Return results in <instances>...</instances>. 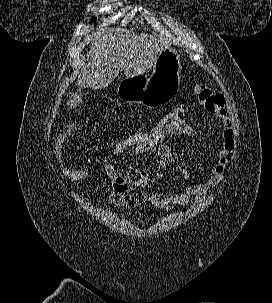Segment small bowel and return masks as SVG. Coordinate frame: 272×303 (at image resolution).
I'll list each match as a JSON object with an SVG mask.
<instances>
[{"label":"small bowel","instance_id":"1","mask_svg":"<svg viewBox=\"0 0 272 303\" xmlns=\"http://www.w3.org/2000/svg\"><path fill=\"white\" fill-rule=\"evenodd\" d=\"M195 93L204 110L221 123L219 130L220 148L217 153V160L205 180L196 185H188L183 193H176L170 189H165V187H160L147 196V201L160 209L168 210L173 204L184 205L192 199H194L195 203L201 202L209 190L223 180L224 170L233 155V129L225 97L201 84L195 87ZM195 133V129L190 125L184 131L179 132L178 135L191 137ZM134 153L137 156L152 155L156 159V164L159 168L175 166L186 179L189 177L187 170L178 165L170 148L165 144L153 148L137 149ZM105 174L112 183L114 193L118 194L135 191L152 179L146 170L139 168H133L126 173L114 170Z\"/></svg>","mask_w":272,"mask_h":303}]
</instances>
